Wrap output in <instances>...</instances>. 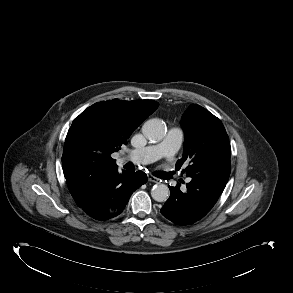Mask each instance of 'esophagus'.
<instances>
[{"label":"esophagus","mask_w":293,"mask_h":293,"mask_svg":"<svg viewBox=\"0 0 293 293\" xmlns=\"http://www.w3.org/2000/svg\"><path fill=\"white\" fill-rule=\"evenodd\" d=\"M148 180L151 181V182H154V183H160L161 180L159 178H156L152 175H148Z\"/></svg>","instance_id":"obj_1"}]
</instances>
